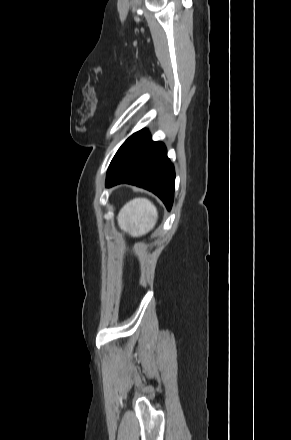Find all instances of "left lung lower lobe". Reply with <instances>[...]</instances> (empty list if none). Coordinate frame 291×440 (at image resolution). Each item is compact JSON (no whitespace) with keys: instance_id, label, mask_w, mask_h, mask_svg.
<instances>
[{"instance_id":"left-lung-lower-lobe-1","label":"left lung lower lobe","mask_w":291,"mask_h":440,"mask_svg":"<svg viewBox=\"0 0 291 440\" xmlns=\"http://www.w3.org/2000/svg\"><path fill=\"white\" fill-rule=\"evenodd\" d=\"M174 167L166 147L151 140L145 129L134 133L119 148L107 171L106 187L128 183L156 194L171 209L174 197Z\"/></svg>"}]
</instances>
